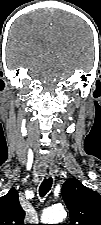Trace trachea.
Wrapping results in <instances>:
<instances>
[{"instance_id": "obj_1", "label": "trachea", "mask_w": 101, "mask_h": 225, "mask_svg": "<svg viewBox=\"0 0 101 225\" xmlns=\"http://www.w3.org/2000/svg\"><path fill=\"white\" fill-rule=\"evenodd\" d=\"M52 178H45L39 187V195L40 197H44L52 187Z\"/></svg>"}]
</instances>
